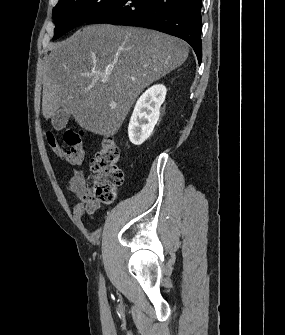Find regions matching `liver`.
Wrapping results in <instances>:
<instances>
[{
    "label": "liver",
    "mask_w": 285,
    "mask_h": 335,
    "mask_svg": "<svg viewBox=\"0 0 285 335\" xmlns=\"http://www.w3.org/2000/svg\"><path fill=\"white\" fill-rule=\"evenodd\" d=\"M43 74L42 114L60 108L80 128L114 136L139 94L186 62L183 40L130 26L93 24L49 44Z\"/></svg>",
    "instance_id": "6515ba94"
}]
</instances>
